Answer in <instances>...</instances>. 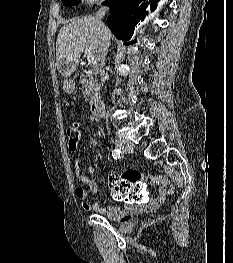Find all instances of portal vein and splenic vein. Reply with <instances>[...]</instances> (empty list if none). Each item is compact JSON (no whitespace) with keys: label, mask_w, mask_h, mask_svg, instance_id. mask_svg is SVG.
Here are the masks:
<instances>
[{"label":"portal vein and splenic vein","mask_w":233,"mask_h":263,"mask_svg":"<svg viewBox=\"0 0 233 263\" xmlns=\"http://www.w3.org/2000/svg\"><path fill=\"white\" fill-rule=\"evenodd\" d=\"M87 61L91 62V63H94V61H95L94 55L93 54H88L87 55Z\"/></svg>","instance_id":"18ae733b"}]
</instances>
